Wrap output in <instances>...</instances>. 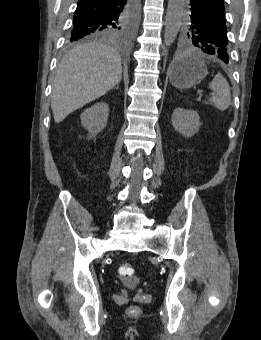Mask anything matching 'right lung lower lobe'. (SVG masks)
I'll return each instance as SVG.
<instances>
[{"instance_id": "1", "label": "right lung lower lobe", "mask_w": 261, "mask_h": 340, "mask_svg": "<svg viewBox=\"0 0 261 340\" xmlns=\"http://www.w3.org/2000/svg\"><path fill=\"white\" fill-rule=\"evenodd\" d=\"M132 0H78L73 31L87 32L121 16Z\"/></svg>"}]
</instances>
